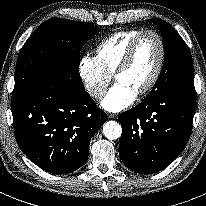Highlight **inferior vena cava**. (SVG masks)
<instances>
[{
    "instance_id": "inferior-vena-cava-1",
    "label": "inferior vena cava",
    "mask_w": 206,
    "mask_h": 206,
    "mask_svg": "<svg viewBox=\"0 0 206 206\" xmlns=\"http://www.w3.org/2000/svg\"><path fill=\"white\" fill-rule=\"evenodd\" d=\"M90 95L93 97H102L105 94V91L102 89L94 88L90 90Z\"/></svg>"
}]
</instances>
